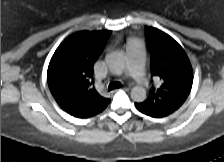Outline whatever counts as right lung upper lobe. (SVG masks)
Listing matches in <instances>:
<instances>
[{
	"mask_svg": "<svg viewBox=\"0 0 224 162\" xmlns=\"http://www.w3.org/2000/svg\"><path fill=\"white\" fill-rule=\"evenodd\" d=\"M111 31H80L67 38L53 54L48 71L49 89L58 105L77 118L102 112L110 100L92 86V67Z\"/></svg>",
	"mask_w": 224,
	"mask_h": 162,
	"instance_id": "right-lung-upper-lobe-1",
	"label": "right lung upper lobe"
}]
</instances>
